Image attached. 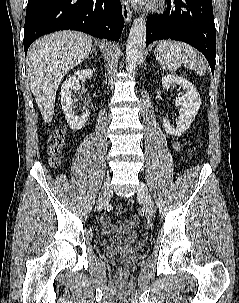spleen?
Masks as SVG:
<instances>
[{"label":"spleen","instance_id":"1","mask_svg":"<svg viewBox=\"0 0 239 303\" xmlns=\"http://www.w3.org/2000/svg\"><path fill=\"white\" fill-rule=\"evenodd\" d=\"M154 54L163 69L175 71L181 65L195 70L199 75H205L206 65L204 57L192 46L173 40L158 43Z\"/></svg>","mask_w":239,"mask_h":303}]
</instances>
